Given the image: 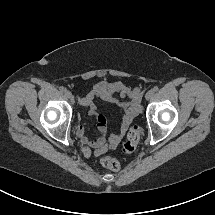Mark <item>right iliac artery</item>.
I'll list each match as a JSON object with an SVG mask.
<instances>
[{
    "mask_svg": "<svg viewBox=\"0 0 215 215\" xmlns=\"http://www.w3.org/2000/svg\"><path fill=\"white\" fill-rule=\"evenodd\" d=\"M59 90H60L61 92H65V91H66V89H65L63 86H61V87L59 88Z\"/></svg>",
    "mask_w": 215,
    "mask_h": 215,
    "instance_id": "right-iliac-artery-1",
    "label": "right iliac artery"
}]
</instances>
